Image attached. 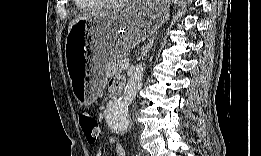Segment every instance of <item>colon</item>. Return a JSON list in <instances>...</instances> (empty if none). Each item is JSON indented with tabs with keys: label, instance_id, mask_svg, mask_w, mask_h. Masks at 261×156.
<instances>
[{
	"label": "colon",
	"instance_id": "obj_1",
	"mask_svg": "<svg viewBox=\"0 0 261 156\" xmlns=\"http://www.w3.org/2000/svg\"><path fill=\"white\" fill-rule=\"evenodd\" d=\"M79 124L86 141L93 144L99 135V124L93 113L83 110L78 116Z\"/></svg>",
	"mask_w": 261,
	"mask_h": 156
}]
</instances>
